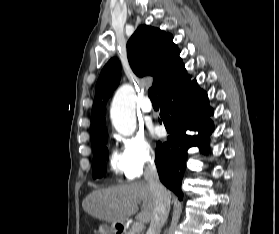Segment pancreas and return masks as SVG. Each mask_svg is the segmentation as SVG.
Returning <instances> with one entry per match:
<instances>
[{"label": "pancreas", "mask_w": 279, "mask_h": 234, "mask_svg": "<svg viewBox=\"0 0 279 234\" xmlns=\"http://www.w3.org/2000/svg\"><path fill=\"white\" fill-rule=\"evenodd\" d=\"M138 232H134L133 229H130L126 234H137Z\"/></svg>", "instance_id": "obj_1"}]
</instances>
